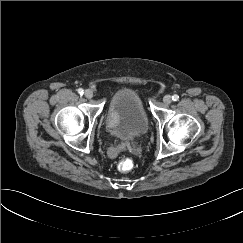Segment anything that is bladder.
Returning <instances> with one entry per match:
<instances>
[{
	"instance_id": "31cf9c89",
	"label": "bladder",
	"mask_w": 243,
	"mask_h": 243,
	"mask_svg": "<svg viewBox=\"0 0 243 243\" xmlns=\"http://www.w3.org/2000/svg\"><path fill=\"white\" fill-rule=\"evenodd\" d=\"M107 131L121 140H134L149 128V119L140 96L132 89L117 91L110 99L105 116Z\"/></svg>"
}]
</instances>
